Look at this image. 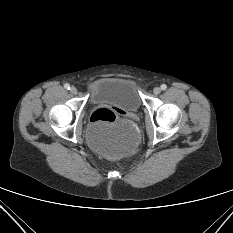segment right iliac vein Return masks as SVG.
Here are the masks:
<instances>
[{
  "instance_id": "63e3f726",
  "label": "right iliac vein",
  "mask_w": 233,
  "mask_h": 233,
  "mask_svg": "<svg viewBox=\"0 0 233 233\" xmlns=\"http://www.w3.org/2000/svg\"><path fill=\"white\" fill-rule=\"evenodd\" d=\"M70 92H71L73 95H76V94L78 93V90H77L75 87H71Z\"/></svg>"
}]
</instances>
